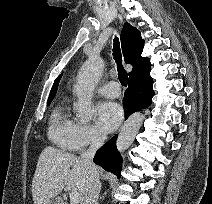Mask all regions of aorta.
<instances>
[{
  "instance_id": "762f6f07",
  "label": "aorta",
  "mask_w": 212,
  "mask_h": 204,
  "mask_svg": "<svg viewBox=\"0 0 212 204\" xmlns=\"http://www.w3.org/2000/svg\"><path fill=\"white\" fill-rule=\"evenodd\" d=\"M103 69V60L99 56L92 55L78 72L77 82L74 86V93L77 97V102L74 104V111L78 119L83 123L91 121L94 115L92 108L93 90L102 76ZM143 119V115L139 112L132 114L127 119L117 139V148L119 151L126 150L133 143Z\"/></svg>"
}]
</instances>
